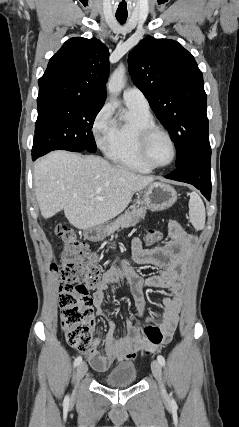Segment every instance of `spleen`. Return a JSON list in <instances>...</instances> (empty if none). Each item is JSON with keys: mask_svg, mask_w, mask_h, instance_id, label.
Segmentation results:
<instances>
[{"mask_svg": "<svg viewBox=\"0 0 239 427\" xmlns=\"http://www.w3.org/2000/svg\"><path fill=\"white\" fill-rule=\"evenodd\" d=\"M190 221L196 230H202L205 227V206L196 192L190 194L189 200Z\"/></svg>", "mask_w": 239, "mask_h": 427, "instance_id": "3e777b00", "label": "spleen"}]
</instances>
